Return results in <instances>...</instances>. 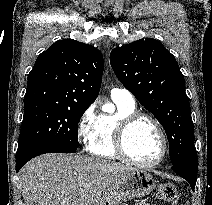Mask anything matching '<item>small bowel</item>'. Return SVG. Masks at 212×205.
<instances>
[{"instance_id": "obj_1", "label": "small bowel", "mask_w": 212, "mask_h": 205, "mask_svg": "<svg viewBox=\"0 0 212 205\" xmlns=\"http://www.w3.org/2000/svg\"><path fill=\"white\" fill-rule=\"evenodd\" d=\"M136 205H150L149 203H146V202H142V203H138Z\"/></svg>"}]
</instances>
